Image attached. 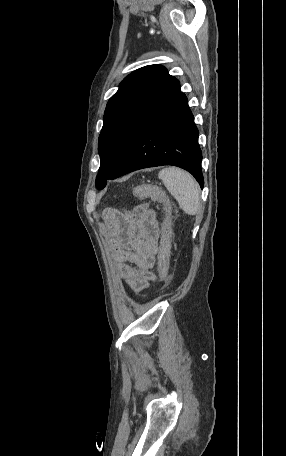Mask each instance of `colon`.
I'll return each mask as SVG.
<instances>
[{"label": "colon", "instance_id": "colon-1", "mask_svg": "<svg viewBox=\"0 0 286 456\" xmlns=\"http://www.w3.org/2000/svg\"><path fill=\"white\" fill-rule=\"evenodd\" d=\"M132 193L139 197H150L164 204L168 200L162 189L156 185L142 184L133 188ZM171 228L169 223H165L162 240L158 251L157 273L162 284H166L169 277V247H170Z\"/></svg>", "mask_w": 286, "mask_h": 456}]
</instances>
